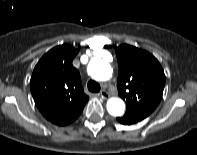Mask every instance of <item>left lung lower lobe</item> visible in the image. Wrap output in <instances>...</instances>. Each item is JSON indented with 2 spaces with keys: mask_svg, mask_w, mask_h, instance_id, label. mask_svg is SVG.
Segmentation results:
<instances>
[{
  "mask_svg": "<svg viewBox=\"0 0 197 155\" xmlns=\"http://www.w3.org/2000/svg\"><path fill=\"white\" fill-rule=\"evenodd\" d=\"M117 120H118V122H120V123H122V124H125V125H131V124L137 123V122L134 121L133 119L128 118V117H126V116L118 117Z\"/></svg>",
  "mask_w": 197,
  "mask_h": 155,
  "instance_id": "left-lung-lower-lobe-1",
  "label": "left lung lower lobe"
}]
</instances>
